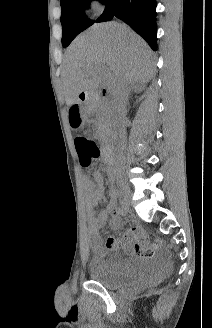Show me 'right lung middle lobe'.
<instances>
[{
    "mask_svg": "<svg viewBox=\"0 0 212 328\" xmlns=\"http://www.w3.org/2000/svg\"><path fill=\"white\" fill-rule=\"evenodd\" d=\"M91 0H61V24L63 28L62 46L67 47L71 41L94 22L84 13ZM103 3L104 0H99Z\"/></svg>",
    "mask_w": 212,
    "mask_h": 328,
    "instance_id": "dd1d6c3e",
    "label": "right lung middle lobe"
}]
</instances>
